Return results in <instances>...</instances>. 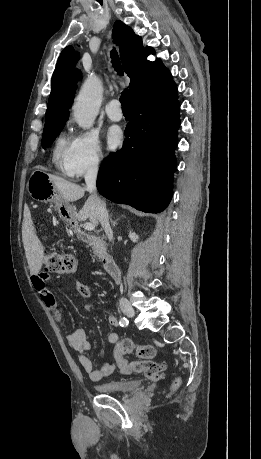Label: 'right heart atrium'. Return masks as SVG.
<instances>
[{
  "mask_svg": "<svg viewBox=\"0 0 261 459\" xmlns=\"http://www.w3.org/2000/svg\"><path fill=\"white\" fill-rule=\"evenodd\" d=\"M104 158L97 135L91 131H80L72 140V151L68 162L71 176L80 177L98 169Z\"/></svg>",
  "mask_w": 261,
  "mask_h": 459,
  "instance_id": "d8ad5b80",
  "label": "right heart atrium"
}]
</instances>
